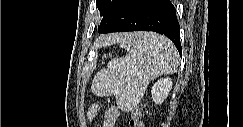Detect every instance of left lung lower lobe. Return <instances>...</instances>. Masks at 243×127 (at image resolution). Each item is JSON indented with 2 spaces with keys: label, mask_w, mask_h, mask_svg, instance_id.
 Masks as SVG:
<instances>
[{
  "label": "left lung lower lobe",
  "mask_w": 243,
  "mask_h": 127,
  "mask_svg": "<svg viewBox=\"0 0 243 127\" xmlns=\"http://www.w3.org/2000/svg\"><path fill=\"white\" fill-rule=\"evenodd\" d=\"M99 33L154 31L167 36L181 55L180 25L170 0H122Z\"/></svg>",
  "instance_id": "1"
}]
</instances>
